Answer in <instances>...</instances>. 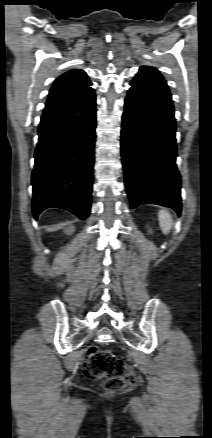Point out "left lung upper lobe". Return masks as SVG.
<instances>
[{
	"label": "left lung upper lobe",
	"mask_w": 212,
	"mask_h": 438,
	"mask_svg": "<svg viewBox=\"0 0 212 438\" xmlns=\"http://www.w3.org/2000/svg\"><path fill=\"white\" fill-rule=\"evenodd\" d=\"M135 78H142L145 80L158 82L167 86L166 81L162 78L159 71L154 67H150V66L141 67Z\"/></svg>",
	"instance_id": "1"
}]
</instances>
